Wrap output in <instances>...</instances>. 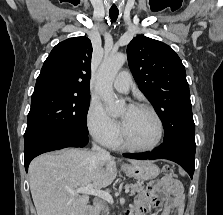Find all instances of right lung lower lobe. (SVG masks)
Returning a JSON list of instances; mask_svg holds the SVG:
<instances>
[{
    "mask_svg": "<svg viewBox=\"0 0 223 215\" xmlns=\"http://www.w3.org/2000/svg\"><path fill=\"white\" fill-rule=\"evenodd\" d=\"M24 141L25 170L28 172L29 163L36 156L66 147H84L88 143V136L70 133H56L38 135Z\"/></svg>",
    "mask_w": 223,
    "mask_h": 215,
    "instance_id": "1",
    "label": "right lung lower lobe"
}]
</instances>
